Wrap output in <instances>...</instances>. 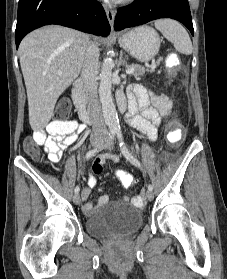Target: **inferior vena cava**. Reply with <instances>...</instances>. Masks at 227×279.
Masks as SVG:
<instances>
[{
  "label": "inferior vena cava",
  "mask_w": 227,
  "mask_h": 279,
  "mask_svg": "<svg viewBox=\"0 0 227 279\" xmlns=\"http://www.w3.org/2000/svg\"><path fill=\"white\" fill-rule=\"evenodd\" d=\"M99 55L100 53L98 46L95 43L90 42L85 53V59L81 71V79L89 95L92 135L106 136L108 131L102 116L97 92Z\"/></svg>",
  "instance_id": "inferior-vena-cava-1"
}]
</instances>
